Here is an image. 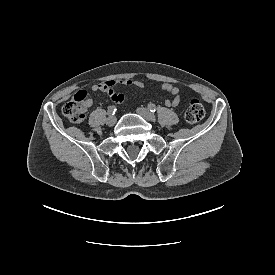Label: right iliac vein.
Returning a JSON list of instances; mask_svg holds the SVG:
<instances>
[{
  "label": "right iliac vein",
  "mask_w": 275,
  "mask_h": 275,
  "mask_svg": "<svg viewBox=\"0 0 275 275\" xmlns=\"http://www.w3.org/2000/svg\"><path fill=\"white\" fill-rule=\"evenodd\" d=\"M116 121H117L116 117L114 115H111L108 117L106 123L108 126H113L116 124Z\"/></svg>",
  "instance_id": "1"
}]
</instances>
